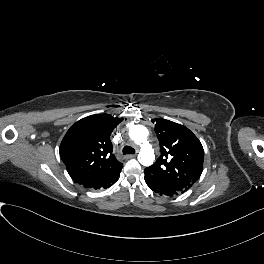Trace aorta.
<instances>
[{
	"mask_svg": "<svg viewBox=\"0 0 264 264\" xmlns=\"http://www.w3.org/2000/svg\"><path fill=\"white\" fill-rule=\"evenodd\" d=\"M129 135L141 147L138 155L139 162L144 166L152 164L154 161V153L148 141V130L142 125H134L130 128Z\"/></svg>",
	"mask_w": 264,
	"mask_h": 264,
	"instance_id": "1",
	"label": "aorta"
}]
</instances>
